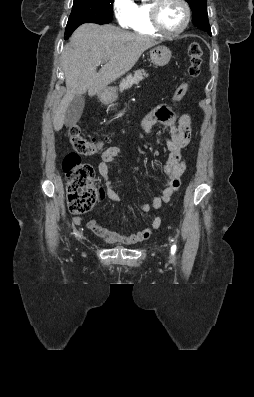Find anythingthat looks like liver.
Wrapping results in <instances>:
<instances>
[{
	"label": "liver",
	"mask_w": 254,
	"mask_h": 397,
	"mask_svg": "<svg viewBox=\"0 0 254 397\" xmlns=\"http://www.w3.org/2000/svg\"><path fill=\"white\" fill-rule=\"evenodd\" d=\"M158 43L152 37L113 25L87 23L78 27L61 56L67 91L55 110L54 130L62 129L67 107L76 95L99 94L128 72L144 51ZM104 62L106 64L96 72Z\"/></svg>",
	"instance_id": "liver-1"
}]
</instances>
